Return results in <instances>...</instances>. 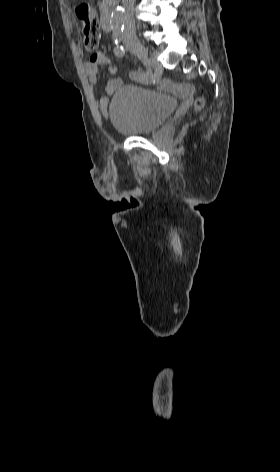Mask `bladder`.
Returning <instances> with one entry per match:
<instances>
[{"label":"bladder","instance_id":"1","mask_svg":"<svg viewBox=\"0 0 280 472\" xmlns=\"http://www.w3.org/2000/svg\"><path fill=\"white\" fill-rule=\"evenodd\" d=\"M176 108L174 98L134 84H124L114 94L109 115L113 126L125 135H140L159 128Z\"/></svg>","mask_w":280,"mask_h":472}]
</instances>
